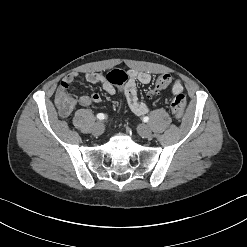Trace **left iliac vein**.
<instances>
[{
    "label": "left iliac vein",
    "instance_id": "1",
    "mask_svg": "<svg viewBox=\"0 0 247 247\" xmlns=\"http://www.w3.org/2000/svg\"><path fill=\"white\" fill-rule=\"evenodd\" d=\"M137 131L139 135L143 138H148L152 135L151 128L145 124L138 126Z\"/></svg>",
    "mask_w": 247,
    "mask_h": 247
}]
</instances>
